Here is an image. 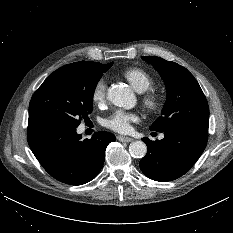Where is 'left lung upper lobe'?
I'll return each instance as SVG.
<instances>
[{"label": "left lung upper lobe", "instance_id": "obj_1", "mask_svg": "<svg viewBox=\"0 0 233 233\" xmlns=\"http://www.w3.org/2000/svg\"><path fill=\"white\" fill-rule=\"evenodd\" d=\"M142 59L155 67L167 87L162 115L150 126L151 130L163 132L183 124H209L206 97L186 68L156 56H145Z\"/></svg>", "mask_w": 233, "mask_h": 233}]
</instances>
